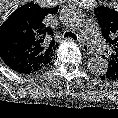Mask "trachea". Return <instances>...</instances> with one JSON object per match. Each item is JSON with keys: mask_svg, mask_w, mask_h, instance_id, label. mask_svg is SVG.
<instances>
[{"mask_svg": "<svg viewBox=\"0 0 118 118\" xmlns=\"http://www.w3.org/2000/svg\"><path fill=\"white\" fill-rule=\"evenodd\" d=\"M66 37H71V38H73L74 40H77L76 34H74V33H72V32H66V33L64 34V38H66Z\"/></svg>", "mask_w": 118, "mask_h": 118, "instance_id": "3493384b", "label": "trachea"}]
</instances>
